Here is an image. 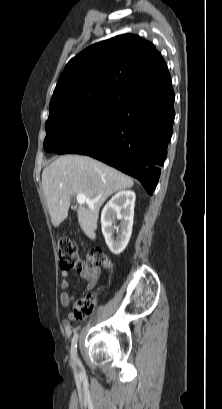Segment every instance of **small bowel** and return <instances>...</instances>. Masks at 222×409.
<instances>
[{
    "instance_id": "c3829d8e",
    "label": "small bowel",
    "mask_w": 222,
    "mask_h": 409,
    "mask_svg": "<svg viewBox=\"0 0 222 409\" xmlns=\"http://www.w3.org/2000/svg\"><path fill=\"white\" fill-rule=\"evenodd\" d=\"M100 272L99 267H94L92 269H85L80 273L81 278L87 282L86 291H90L95 287ZM62 275L64 278L60 283V286L63 289V292L60 294V303L63 307H67L70 305L72 300V295L66 291L70 286V282L68 280L69 273L63 270ZM71 320H73L72 314L69 315L68 319H64L62 322L64 331L67 335H70L73 331Z\"/></svg>"
}]
</instances>
